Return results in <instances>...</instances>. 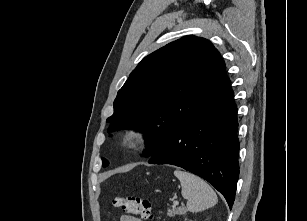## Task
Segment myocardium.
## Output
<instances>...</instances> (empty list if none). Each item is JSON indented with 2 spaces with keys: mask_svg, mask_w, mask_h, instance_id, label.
Wrapping results in <instances>:
<instances>
[{
  "mask_svg": "<svg viewBox=\"0 0 307 221\" xmlns=\"http://www.w3.org/2000/svg\"><path fill=\"white\" fill-rule=\"evenodd\" d=\"M146 132L140 126H132L128 128L122 136V146L127 151H136L144 143Z\"/></svg>",
  "mask_w": 307,
  "mask_h": 221,
  "instance_id": "obj_1",
  "label": "myocardium"
}]
</instances>
